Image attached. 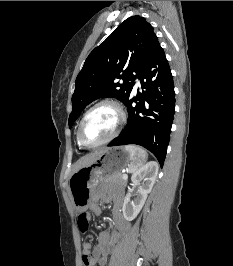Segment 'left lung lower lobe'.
<instances>
[{
  "instance_id": "obj_1",
  "label": "left lung lower lobe",
  "mask_w": 233,
  "mask_h": 266,
  "mask_svg": "<svg viewBox=\"0 0 233 266\" xmlns=\"http://www.w3.org/2000/svg\"><path fill=\"white\" fill-rule=\"evenodd\" d=\"M143 93L125 103L127 125L108 146L137 144L151 151L163 166L175 113L173 77L160 44L155 47L139 76ZM132 106V102H137Z\"/></svg>"
}]
</instances>
